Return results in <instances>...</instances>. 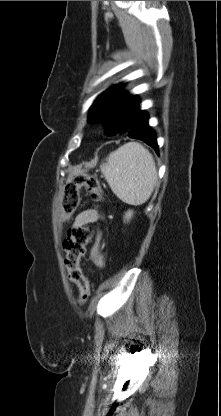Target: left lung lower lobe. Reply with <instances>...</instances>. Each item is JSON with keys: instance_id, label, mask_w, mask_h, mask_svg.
Instances as JSON below:
<instances>
[{"instance_id": "left-lung-lower-lobe-1", "label": "left lung lower lobe", "mask_w": 221, "mask_h": 416, "mask_svg": "<svg viewBox=\"0 0 221 416\" xmlns=\"http://www.w3.org/2000/svg\"><path fill=\"white\" fill-rule=\"evenodd\" d=\"M127 136L144 141L158 153L156 133L148 125V114L145 111L137 109L132 117Z\"/></svg>"}]
</instances>
